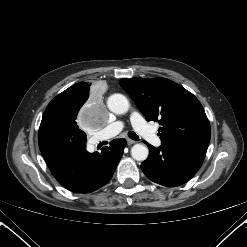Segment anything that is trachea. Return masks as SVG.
<instances>
[{
  "label": "trachea",
  "instance_id": "3493384b",
  "mask_svg": "<svg viewBox=\"0 0 247 247\" xmlns=\"http://www.w3.org/2000/svg\"><path fill=\"white\" fill-rule=\"evenodd\" d=\"M128 136L131 138V139H133V140H139V136L135 133V132H133V131H131V132H129L128 133Z\"/></svg>",
  "mask_w": 247,
  "mask_h": 247
}]
</instances>
